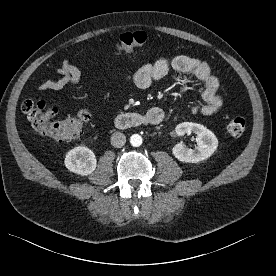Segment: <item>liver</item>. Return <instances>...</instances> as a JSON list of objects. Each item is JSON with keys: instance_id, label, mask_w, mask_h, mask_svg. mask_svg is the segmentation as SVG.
Returning <instances> with one entry per match:
<instances>
[{"instance_id": "1", "label": "liver", "mask_w": 276, "mask_h": 276, "mask_svg": "<svg viewBox=\"0 0 276 276\" xmlns=\"http://www.w3.org/2000/svg\"><path fill=\"white\" fill-rule=\"evenodd\" d=\"M50 116H51V111L48 110V111L46 112V114H45V118H46V119H49Z\"/></svg>"}]
</instances>
